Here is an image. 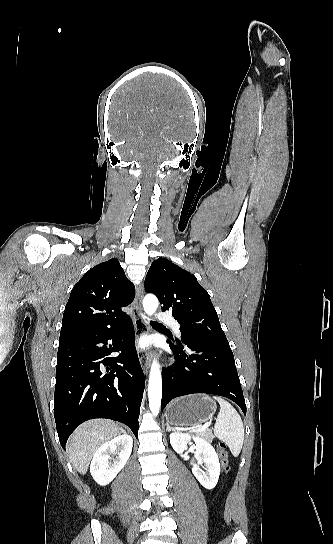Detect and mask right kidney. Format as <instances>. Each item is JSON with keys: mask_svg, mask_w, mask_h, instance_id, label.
I'll return each instance as SVG.
<instances>
[{"mask_svg": "<svg viewBox=\"0 0 333 544\" xmlns=\"http://www.w3.org/2000/svg\"><path fill=\"white\" fill-rule=\"evenodd\" d=\"M133 447V440L130 435L124 433L104 443L95 452L90 465V472L93 479L102 486L109 484L125 466ZM110 454L116 456L112 460Z\"/></svg>", "mask_w": 333, "mask_h": 544, "instance_id": "right-kidney-1", "label": "right kidney"}]
</instances>
